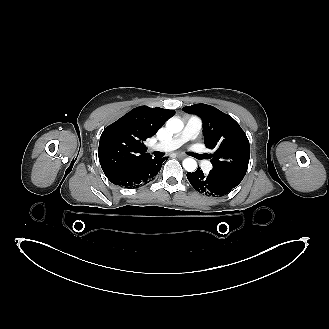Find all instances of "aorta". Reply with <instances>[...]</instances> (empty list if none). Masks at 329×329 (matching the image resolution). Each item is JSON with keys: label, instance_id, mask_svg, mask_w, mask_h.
Returning <instances> with one entry per match:
<instances>
[{"label": "aorta", "instance_id": "obj_1", "mask_svg": "<svg viewBox=\"0 0 329 329\" xmlns=\"http://www.w3.org/2000/svg\"><path fill=\"white\" fill-rule=\"evenodd\" d=\"M183 122L175 117L170 118L166 123V128L172 133H178L183 129ZM183 168L188 172H194L197 169V162L193 158L183 160Z\"/></svg>", "mask_w": 329, "mask_h": 329}]
</instances>
